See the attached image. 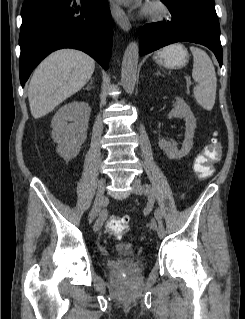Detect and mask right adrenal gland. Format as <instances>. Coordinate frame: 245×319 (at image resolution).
Masks as SVG:
<instances>
[{
  "label": "right adrenal gland",
  "mask_w": 245,
  "mask_h": 319,
  "mask_svg": "<svg viewBox=\"0 0 245 319\" xmlns=\"http://www.w3.org/2000/svg\"><path fill=\"white\" fill-rule=\"evenodd\" d=\"M91 85H92V79H91L89 85H87L86 89H87V90H90V89H91Z\"/></svg>",
  "instance_id": "1"
}]
</instances>
